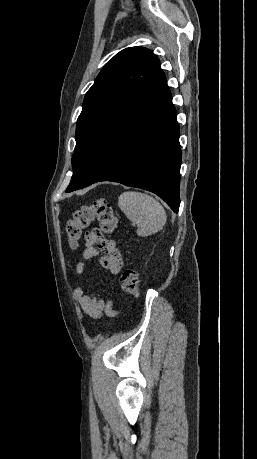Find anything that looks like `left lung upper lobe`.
<instances>
[{"label":"left lung upper lobe","mask_w":257,"mask_h":459,"mask_svg":"<svg viewBox=\"0 0 257 459\" xmlns=\"http://www.w3.org/2000/svg\"><path fill=\"white\" fill-rule=\"evenodd\" d=\"M159 71V59L143 47L126 48L105 64L86 93L78 117L74 172L66 192L94 181L105 159L110 132Z\"/></svg>","instance_id":"left-lung-upper-lobe-1"}]
</instances>
